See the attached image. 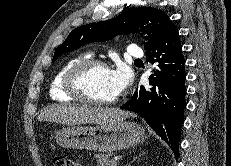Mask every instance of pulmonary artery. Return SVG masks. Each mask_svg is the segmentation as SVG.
Listing matches in <instances>:
<instances>
[{"label":"pulmonary artery","mask_w":231,"mask_h":166,"mask_svg":"<svg viewBox=\"0 0 231 166\" xmlns=\"http://www.w3.org/2000/svg\"><path fill=\"white\" fill-rule=\"evenodd\" d=\"M127 54L130 56V57H133V58H142L143 57V52L141 51V49L135 45V44H130L128 47H127Z\"/></svg>","instance_id":"e3ab8cb5"}]
</instances>
